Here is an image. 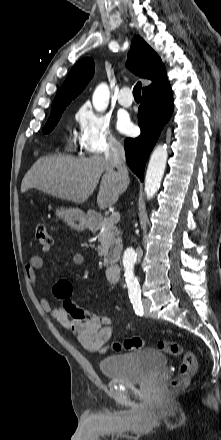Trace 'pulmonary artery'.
I'll list each match as a JSON object with an SVG mask.
<instances>
[{"label": "pulmonary artery", "mask_w": 221, "mask_h": 440, "mask_svg": "<svg viewBox=\"0 0 221 440\" xmlns=\"http://www.w3.org/2000/svg\"><path fill=\"white\" fill-rule=\"evenodd\" d=\"M118 102L124 107H129L133 103L132 91L129 87H123L118 93Z\"/></svg>", "instance_id": "obj_1"}]
</instances>
